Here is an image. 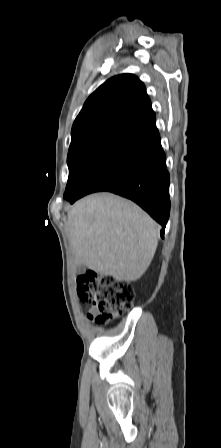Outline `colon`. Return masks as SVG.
<instances>
[{
    "label": "colon",
    "instance_id": "5ec220e1",
    "mask_svg": "<svg viewBox=\"0 0 221 448\" xmlns=\"http://www.w3.org/2000/svg\"><path fill=\"white\" fill-rule=\"evenodd\" d=\"M77 295L82 303L95 309V314L91 316L99 323L109 322L134 302L132 286L95 271L78 276Z\"/></svg>",
    "mask_w": 221,
    "mask_h": 448
}]
</instances>
